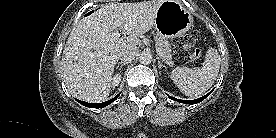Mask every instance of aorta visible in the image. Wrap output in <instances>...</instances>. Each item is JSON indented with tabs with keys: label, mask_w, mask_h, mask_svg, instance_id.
<instances>
[{
	"label": "aorta",
	"mask_w": 276,
	"mask_h": 138,
	"mask_svg": "<svg viewBox=\"0 0 276 138\" xmlns=\"http://www.w3.org/2000/svg\"><path fill=\"white\" fill-rule=\"evenodd\" d=\"M152 61V54L150 51H143L139 55V62L141 64L147 65L150 64Z\"/></svg>",
	"instance_id": "762f6f07"
}]
</instances>
